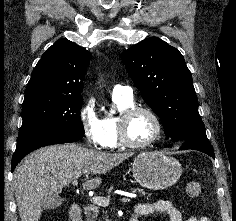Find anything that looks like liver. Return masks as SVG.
Returning <instances> with one entry per match:
<instances>
[{
    "instance_id": "1",
    "label": "liver",
    "mask_w": 236,
    "mask_h": 221,
    "mask_svg": "<svg viewBox=\"0 0 236 221\" xmlns=\"http://www.w3.org/2000/svg\"><path fill=\"white\" fill-rule=\"evenodd\" d=\"M132 153H106L77 144L47 146L28 155L13 174L15 198L21 221H38L42 201L59 195L63 188L83 174L99 175L83 183L85 190L97 188L105 174Z\"/></svg>"
}]
</instances>
